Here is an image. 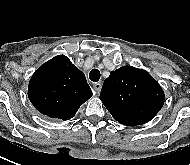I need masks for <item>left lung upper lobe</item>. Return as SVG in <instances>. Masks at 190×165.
<instances>
[{
    "mask_svg": "<svg viewBox=\"0 0 190 165\" xmlns=\"http://www.w3.org/2000/svg\"><path fill=\"white\" fill-rule=\"evenodd\" d=\"M100 100L116 121L136 126L153 119L165 97L161 86L147 71L122 66L105 79Z\"/></svg>",
    "mask_w": 190,
    "mask_h": 165,
    "instance_id": "obj_1",
    "label": "left lung upper lobe"
}]
</instances>
